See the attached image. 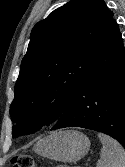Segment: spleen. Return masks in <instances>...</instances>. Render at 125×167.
<instances>
[{
  "instance_id": "spleen-1",
  "label": "spleen",
  "mask_w": 125,
  "mask_h": 167,
  "mask_svg": "<svg viewBox=\"0 0 125 167\" xmlns=\"http://www.w3.org/2000/svg\"><path fill=\"white\" fill-rule=\"evenodd\" d=\"M102 143L100 159L96 167H125V150L113 138L98 134Z\"/></svg>"
}]
</instances>
